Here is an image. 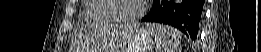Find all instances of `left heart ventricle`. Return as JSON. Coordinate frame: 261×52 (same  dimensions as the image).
Instances as JSON below:
<instances>
[{"instance_id":"b2bd125f","label":"left heart ventricle","mask_w":261,"mask_h":52,"mask_svg":"<svg viewBox=\"0 0 261 52\" xmlns=\"http://www.w3.org/2000/svg\"><path fill=\"white\" fill-rule=\"evenodd\" d=\"M140 5V0H118L116 2L114 15L117 17H130L137 13Z\"/></svg>"}]
</instances>
